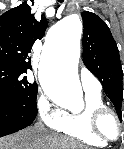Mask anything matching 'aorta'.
Listing matches in <instances>:
<instances>
[{"mask_svg":"<svg viewBox=\"0 0 124 149\" xmlns=\"http://www.w3.org/2000/svg\"><path fill=\"white\" fill-rule=\"evenodd\" d=\"M82 22L69 15L50 30L39 67V81L45 94L67 107L83 106L78 77Z\"/></svg>","mask_w":124,"mask_h":149,"instance_id":"1","label":"aorta"}]
</instances>
